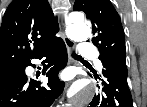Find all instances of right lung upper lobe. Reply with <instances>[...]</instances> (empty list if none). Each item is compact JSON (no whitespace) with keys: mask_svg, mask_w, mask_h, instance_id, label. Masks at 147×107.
Instances as JSON below:
<instances>
[{"mask_svg":"<svg viewBox=\"0 0 147 107\" xmlns=\"http://www.w3.org/2000/svg\"><path fill=\"white\" fill-rule=\"evenodd\" d=\"M58 31L48 0H13L0 29V69L25 66Z\"/></svg>","mask_w":147,"mask_h":107,"instance_id":"right-lung-upper-lobe-1","label":"right lung upper lobe"}]
</instances>
